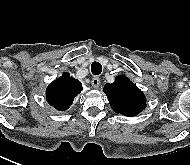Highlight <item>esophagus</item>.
<instances>
[{
    "mask_svg": "<svg viewBox=\"0 0 190 165\" xmlns=\"http://www.w3.org/2000/svg\"><path fill=\"white\" fill-rule=\"evenodd\" d=\"M100 78L99 77H94L91 81V84L94 88H99L100 86Z\"/></svg>",
    "mask_w": 190,
    "mask_h": 165,
    "instance_id": "esophagus-1",
    "label": "esophagus"
}]
</instances>
